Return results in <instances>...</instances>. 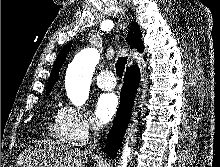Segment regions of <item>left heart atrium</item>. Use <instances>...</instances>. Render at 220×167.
I'll list each match as a JSON object with an SVG mask.
<instances>
[{
	"label": "left heart atrium",
	"mask_w": 220,
	"mask_h": 167,
	"mask_svg": "<svg viewBox=\"0 0 220 167\" xmlns=\"http://www.w3.org/2000/svg\"><path fill=\"white\" fill-rule=\"evenodd\" d=\"M118 108V98L113 93L101 94L95 104V117L98 123L109 122Z\"/></svg>",
	"instance_id": "left-heart-atrium-1"
}]
</instances>
